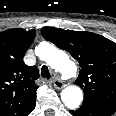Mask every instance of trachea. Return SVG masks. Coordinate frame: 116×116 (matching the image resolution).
Returning <instances> with one entry per match:
<instances>
[{"label": "trachea", "mask_w": 116, "mask_h": 116, "mask_svg": "<svg viewBox=\"0 0 116 116\" xmlns=\"http://www.w3.org/2000/svg\"><path fill=\"white\" fill-rule=\"evenodd\" d=\"M41 76L43 77V78H47V79H49V78H51V74H50V72H49V69H48V67L47 66H42V68H41Z\"/></svg>", "instance_id": "obj_1"}]
</instances>
